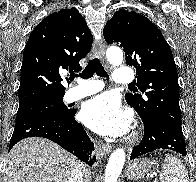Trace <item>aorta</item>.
I'll return each instance as SVG.
<instances>
[{
  "label": "aorta",
  "mask_w": 196,
  "mask_h": 182,
  "mask_svg": "<svg viewBox=\"0 0 196 182\" xmlns=\"http://www.w3.org/2000/svg\"><path fill=\"white\" fill-rule=\"evenodd\" d=\"M107 59L113 65H120L123 61V52L119 48H109ZM125 151L122 148L116 149L110 156L105 170V182H117L125 163Z\"/></svg>",
  "instance_id": "obj_1"
}]
</instances>
